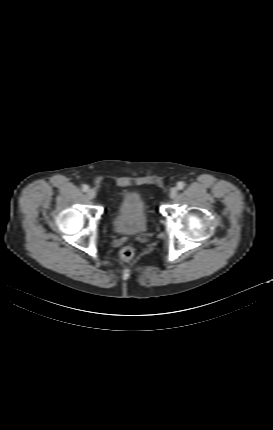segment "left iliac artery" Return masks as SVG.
<instances>
[{
	"label": "left iliac artery",
	"mask_w": 273,
	"mask_h": 430,
	"mask_svg": "<svg viewBox=\"0 0 273 430\" xmlns=\"http://www.w3.org/2000/svg\"><path fill=\"white\" fill-rule=\"evenodd\" d=\"M185 182H183V181H181V182H178V184H177V189L178 190H182L184 187H185Z\"/></svg>",
	"instance_id": "obj_1"
}]
</instances>
